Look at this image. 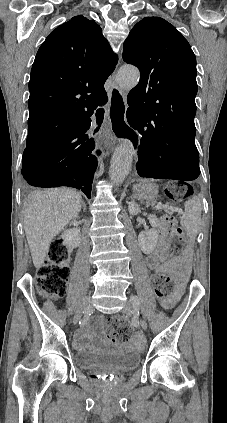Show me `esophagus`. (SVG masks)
I'll return each instance as SVG.
<instances>
[{
    "label": "esophagus",
    "instance_id": "esophagus-1",
    "mask_svg": "<svg viewBox=\"0 0 227 423\" xmlns=\"http://www.w3.org/2000/svg\"><path fill=\"white\" fill-rule=\"evenodd\" d=\"M127 103L125 101L122 90L114 83L109 92V105L107 117L111 118L109 124L112 126L114 134L120 143H130L134 155L135 163L137 162L138 147L140 138L135 134V130L130 123H125Z\"/></svg>",
    "mask_w": 227,
    "mask_h": 423
}]
</instances>
